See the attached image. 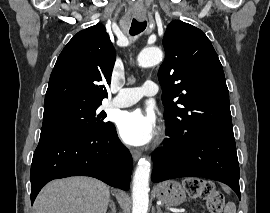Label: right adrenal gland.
I'll use <instances>...</instances> for the list:
<instances>
[{
  "label": "right adrenal gland",
  "mask_w": 270,
  "mask_h": 213,
  "mask_svg": "<svg viewBox=\"0 0 270 213\" xmlns=\"http://www.w3.org/2000/svg\"><path fill=\"white\" fill-rule=\"evenodd\" d=\"M109 207L111 209V212H109V213H116L115 204H114V202L112 200H110Z\"/></svg>",
  "instance_id": "2a0ac1e0"
}]
</instances>
